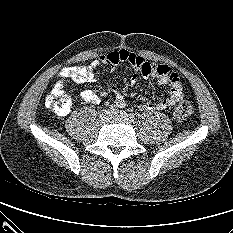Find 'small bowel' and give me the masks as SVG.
Returning a JSON list of instances; mask_svg holds the SVG:
<instances>
[{
  "mask_svg": "<svg viewBox=\"0 0 233 233\" xmlns=\"http://www.w3.org/2000/svg\"><path fill=\"white\" fill-rule=\"evenodd\" d=\"M121 63H129L133 68V73L130 77V82L135 85L138 81L139 76L145 78L154 77L157 78L159 85H169L170 90L166 98L154 102L147 101L144 103L146 110H164L171 108L177 102H179L183 96L182 84L179 75L167 65L154 64L146 61L143 57L136 55L125 49L112 51L107 54L101 55L98 59L93 60L88 65L83 66H71L63 68L59 74V80L54 85L53 90L60 89L63 91V80L71 79L77 84L81 83H92L96 81L95 70L100 65H108L116 67ZM81 98L85 102L99 104L101 102L100 96L92 90H84L81 93ZM125 102L121 97L117 98V105L124 106ZM69 113V110L59 114L65 116Z\"/></svg>",
  "mask_w": 233,
  "mask_h": 233,
  "instance_id": "1",
  "label": "small bowel"
}]
</instances>
